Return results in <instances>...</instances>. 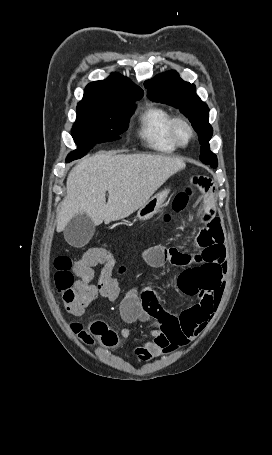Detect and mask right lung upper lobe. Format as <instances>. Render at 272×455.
Instances as JSON below:
<instances>
[{"label": "right lung upper lobe", "instance_id": "1", "mask_svg": "<svg viewBox=\"0 0 272 455\" xmlns=\"http://www.w3.org/2000/svg\"><path fill=\"white\" fill-rule=\"evenodd\" d=\"M143 90L119 73L87 85L77 108L115 109L139 100Z\"/></svg>", "mask_w": 272, "mask_h": 455}]
</instances>
